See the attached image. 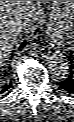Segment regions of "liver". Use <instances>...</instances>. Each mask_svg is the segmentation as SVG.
<instances>
[{
  "label": "liver",
  "mask_w": 74,
  "mask_h": 122,
  "mask_svg": "<svg viewBox=\"0 0 74 122\" xmlns=\"http://www.w3.org/2000/svg\"><path fill=\"white\" fill-rule=\"evenodd\" d=\"M54 1H0V61L8 56L21 33H32L44 19L43 5ZM19 24L25 29L19 30Z\"/></svg>",
  "instance_id": "1"
}]
</instances>
